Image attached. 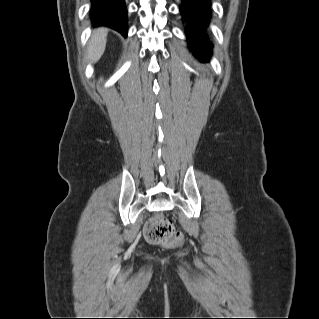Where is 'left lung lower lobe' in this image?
I'll list each match as a JSON object with an SVG mask.
<instances>
[{"label": "left lung lower lobe", "instance_id": "left-lung-lower-lobe-1", "mask_svg": "<svg viewBox=\"0 0 319 319\" xmlns=\"http://www.w3.org/2000/svg\"><path fill=\"white\" fill-rule=\"evenodd\" d=\"M211 0H182L180 12L187 29L186 37L193 54L206 60L212 53L213 44L208 40L207 27L211 18Z\"/></svg>", "mask_w": 319, "mask_h": 319}]
</instances>
